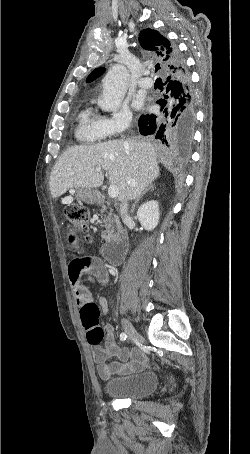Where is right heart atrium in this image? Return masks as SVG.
Wrapping results in <instances>:
<instances>
[{
  "label": "right heart atrium",
  "mask_w": 250,
  "mask_h": 454,
  "mask_svg": "<svg viewBox=\"0 0 250 454\" xmlns=\"http://www.w3.org/2000/svg\"><path fill=\"white\" fill-rule=\"evenodd\" d=\"M132 123V114L126 108H121L109 117H102L100 124L105 136H117L125 132Z\"/></svg>",
  "instance_id": "obj_1"
}]
</instances>
